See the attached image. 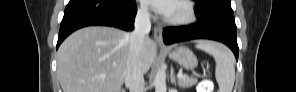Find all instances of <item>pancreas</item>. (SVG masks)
Wrapping results in <instances>:
<instances>
[{"instance_id":"obj_1","label":"pancreas","mask_w":296,"mask_h":92,"mask_svg":"<svg viewBox=\"0 0 296 92\" xmlns=\"http://www.w3.org/2000/svg\"><path fill=\"white\" fill-rule=\"evenodd\" d=\"M197 83V79L196 78H192V77H184L179 79L178 81V85L181 88H189L192 87L193 85H195Z\"/></svg>"}]
</instances>
